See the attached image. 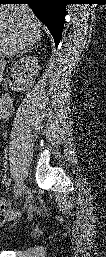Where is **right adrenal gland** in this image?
Here are the masks:
<instances>
[{
    "label": "right adrenal gland",
    "instance_id": "obj_1",
    "mask_svg": "<svg viewBox=\"0 0 106 257\" xmlns=\"http://www.w3.org/2000/svg\"><path fill=\"white\" fill-rule=\"evenodd\" d=\"M37 46H38V44H37ZM34 47H35V45L23 49L22 51L17 53L16 57H20V55H23L24 53H27L28 51H31Z\"/></svg>",
    "mask_w": 106,
    "mask_h": 257
}]
</instances>
